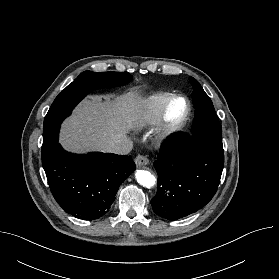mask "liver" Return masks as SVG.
Returning <instances> with one entry per match:
<instances>
[{
  "instance_id": "1",
  "label": "liver",
  "mask_w": 279,
  "mask_h": 279,
  "mask_svg": "<svg viewBox=\"0 0 279 279\" xmlns=\"http://www.w3.org/2000/svg\"><path fill=\"white\" fill-rule=\"evenodd\" d=\"M143 105V98L132 91L113 100L91 96L62 124L60 143L74 153L104 152L109 143L127 138L143 113Z\"/></svg>"
}]
</instances>
